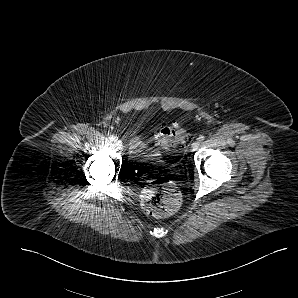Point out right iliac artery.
I'll return each mask as SVG.
<instances>
[{
    "label": "right iliac artery",
    "mask_w": 298,
    "mask_h": 298,
    "mask_svg": "<svg viewBox=\"0 0 298 298\" xmlns=\"http://www.w3.org/2000/svg\"><path fill=\"white\" fill-rule=\"evenodd\" d=\"M109 139H110L111 141H115V140H116V137L112 135V136L109 137Z\"/></svg>",
    "instance_id": "1"
}]
</instances>
